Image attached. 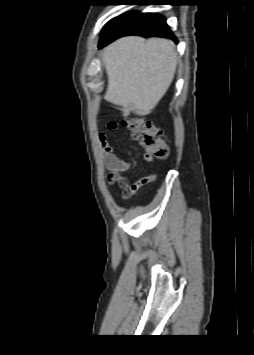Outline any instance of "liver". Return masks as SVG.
<instances>
[{
    "instance_id": "1",
    "label": "liver",
    "mask_w": 254,
    "mask_h": 355,
    "mask_svg": "<svg viewBox=\"0 0 254 355\" xmlns=\"http://www.w3.org/2000/svg\"><path fill=\"white\" fill-rule=\"evenodd\" d=\"M172 41L124 37L107 46L102 54L108 85L104 98L131 112L148 115L171 85L177 66Z\"/></svg>"
}]
</instances>
